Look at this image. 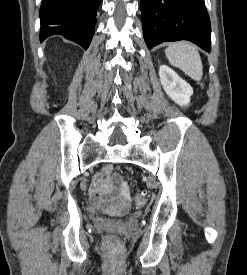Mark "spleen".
<instances>
[{"label":"spleen","mask_w":247,"mask_h":275,"mask_svg":"<svg viewBox=\"0 0 247 275\" xmlns=\"http://www.w3.org/2000/svg\"><path fill=\"white\" fill-rule=\"evenodd\" d=\"M170 64L196 81L203 76V65L197 48L188 42L172 43L165 49Z\"/></svg>","instance_id":"3e777b00"}]
</instances>
